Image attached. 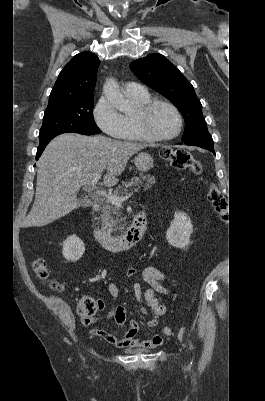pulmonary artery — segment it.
Instances as JSON below:
<instances>
[{"label": "pulmonary artery", "instance_id": "e3ab8cb5", "mask_svg": "<svg viewBox=\"0 0 265 401\" xmlns=\"http://www.w3.org/2000/svg\"><path fill=\"white\" fill-rule=\"evenodd\" d=\"M123 90L125 93L130 94H143L145 92V90L140 85L133 83H124Z\"/></svg>", "mask_w": 265, "mask_h": 401}]
</instances>
